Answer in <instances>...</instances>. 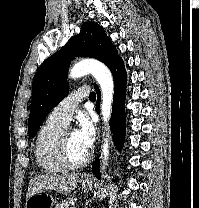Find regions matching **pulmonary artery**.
Masks as SVG:
<instances>
[{"mask_svg": "<svg viewBox=\"0 0 199 208\" xmlns=\"http://www.w3.org/2000/svg\"><path fill=\"white\" fill-rule=\"evenodd\" d=\"M89 95L90 89L88 87L72 91L62 102L53 108L49 117L65 125L68 124L72 118L74 109Z\"/></svg>", "mask_w": 199, "mask_h": 208, "instance_id": "obj_1", "label": "pulmonary artery"}]
</instances>
